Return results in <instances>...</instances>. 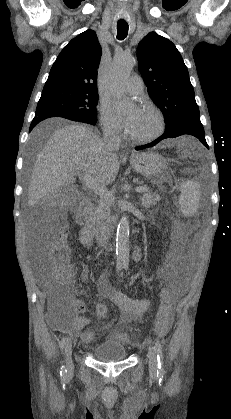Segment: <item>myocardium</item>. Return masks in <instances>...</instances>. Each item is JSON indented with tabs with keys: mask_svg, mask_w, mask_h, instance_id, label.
<instances>
[{
	"mask_svg": "<svg viewBox=\"0 0 231 419\" xmlns=\"http://www.w3.org/2000/svg\"><path fill=\"white\" fill-rule=\"evenodd\" d=\"M144 110H147L151 113H153L157 119V123H158V127L157 130L152 133L151 135L148 136H144V137H139V136H134L132 134H129V137L131 140H133L134 142L137 143H150L154 140H156L158 137L161 136V134L164 132L165 129V121H164V117L161 113V111L156 108L153 105L147 104L143 107Z\"/></svg>",
	"mask_w": 231,
	"mask_h": 419,
	"instance_id": "1",
	"label": "myocardium"
}]
</instances>
